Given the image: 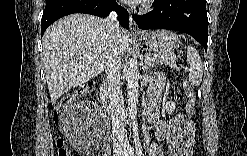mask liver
<instances>
[{"instance_id":"liver-1","label":"liver","mask_w":247,"mask_h":156,"mask_svg":"<svg viewBox=\"0 0 247 156\" xmlns=\"http://www.w3.org/2000/svg\"><path fill=\"white\" fill-rule=\"evenodd\" d=\"M105 24V19L77 13L56 21L45 31L43 62L52 104L104 70L107 55L114 48ZM116 43L122 57L129 46V33L120 29Z\"/></svg>"}]
</instances>
